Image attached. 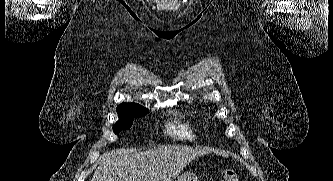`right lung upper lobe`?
<instances>
[{
    "mask_svg": "<svg viewBox=\"0 0 333 181\" xmlns=\"http://www.w3.org/2000/svg\"><path fill=\"white\" fill-rule=\"evenodd\" d=\"M143 108L140 105L137 104H130V103H122L119 106H117V113L133 110V109H140Z\"/></svg>",
    "mask_w": 333,
    "mask_h": 181,
    "instance_id": "1",
    "label": "right lung upper lobe"
}]
</instances>
